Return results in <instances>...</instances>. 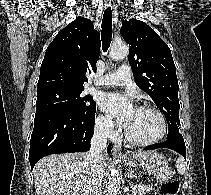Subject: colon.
Masks as SVG:
<instances>
[{
	"label": "colon",
	"mask_w": 211,
	"mask_h": 195,
	"mask_svg": "<svg viewBox=\"0 0 211 195\" xmlns=\"http://www.w3.org/2000/svg\"><path fill=\"white\" fill-rule=\"evenodd\" d=\"M178 181H170L162 184L161 191L164 195H176L179 190Z\"/></svg>",
	"instance_id": "colon-1"
}]
</instances>
